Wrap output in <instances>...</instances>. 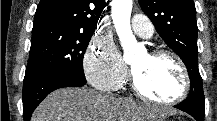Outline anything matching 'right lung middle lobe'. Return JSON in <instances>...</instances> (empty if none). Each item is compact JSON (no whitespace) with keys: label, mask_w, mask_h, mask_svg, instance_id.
Here are the masks:
<instances>
[{"label":"right lung middle lobe","mask_w":217,"mask_h":121,"mask_svg":"<svg viewBox=\"0 0 217 121\" xmlns=\"http://www.w3.org/2000/svg\"><path fill=\"white\" fill-rule=\"evenodd\" d=\"M93 33L55 23L33 26L25 78L49 70H64L85 78L83 56Z\"/></svg>","instance_id":"1"}]
</instances>
